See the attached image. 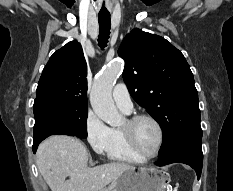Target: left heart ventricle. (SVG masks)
Listing matches in <instances>:
<instances>
[{
    "label": "left heart ventricle",
    "instance_id": "b2bd125f",
    "mask_svg": "<svg viewBox=\"0 0 233 191\" xmlns=\"http://www.w3.org/2000/svg\"><path fill=\"white\" fill-rule=\"evenodd\" d=\"M134 136L138 147L144 154L152 155L155 153L159 136L157 128L151 121H139L134 127Z\"/></svg>",
    "mask_w": 233,
    "mask_h": 191
}]
</instances>
